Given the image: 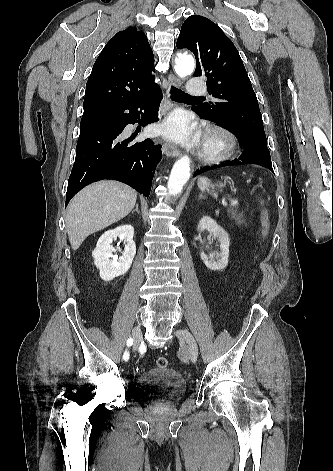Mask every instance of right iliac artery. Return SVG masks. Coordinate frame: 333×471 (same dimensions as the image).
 <instances>
[{
    "label": "right iliac artery",
    "mask_w": 333,
    "mask_h": 471,
    "mask_svg": "<svg viewBox=\"0 0 333 471\" xmlns=\"http://www.w3.org/2000/svg\"><path fill=\"white\" fill-rule=\"evenodd\" d=\"M132 344H133V339H132V338H129V339L127 340V346L130 347ZM123 359H124V361H128V359H129V352H128V350H126V351L124 352V354H123Z\"/></svg>",
    "instance_id": "82829eb1"
}]
</instances>
